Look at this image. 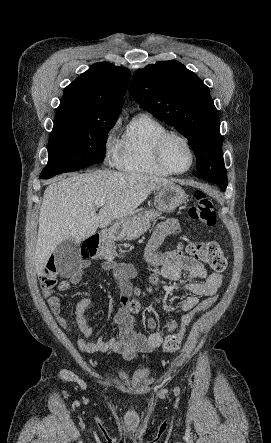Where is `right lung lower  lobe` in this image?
I'll return each instance as SVG.
<instances>
[{
    "mask_svg": "<svg viewBox=\"0 0 271 443\" xmlns=\"http://www.w3.org/2000/svg\"><path fill=\"white\" fill-rule=\"evenodd\" d=\"M77 170H79V169H72V170H61V171H56V172H53V173H50V174H45V175H40V178L41 179H49V178H51V177H53L54 175H57V174H61V173H65V172H72V171H77Z\"/></svg>",
    "mask_w": 271,
    "mask_h": 443,
    "instance_id": "right-lung-lower-lobe-1",
    "label": "right lung lower lobe"
}]
</instances>
